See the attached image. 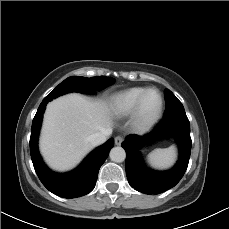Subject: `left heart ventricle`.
Segmentation results:
<instances>
[{"label": "left heart ventricle", "instance_id": "obj_1", "mask_svg": "<svg viewBox=\"0 0 229 229\" xmlns=\"http://www.w3.org/2000/svg\"><path fill=\"white\" fill-rule=\"evenodd\" d=\"M159 104V96L156 92H151L148 94L145 100V110L149 113L156 110Z\"/></svg>", "mask_w": 229, "mask_h": 229}]
</instances>
